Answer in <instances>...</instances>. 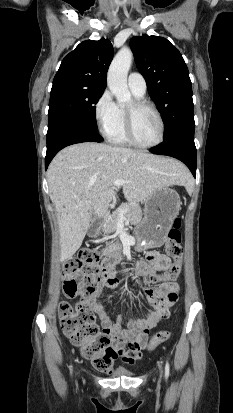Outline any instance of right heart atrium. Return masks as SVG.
I'll return each mask as SVG.
<instances>
[{
  "mask_svg": "<svg viewBox=\"0 0 233 413\" xmlns=\"http://www.w3.org/2000/svg\"><path fill=\"white\" fill-rule=\"evenodd\" d=\"M118 106L109 90H104L96 100L93 113L99 130L107 135L113 128L117 118Z\"/></svg>",
  "mask_w": 233,
  "mask_h": 413,
  "instance_id": "right-heart-atrium-1",
  "label": "right heart atrium"
}]
</instances>
